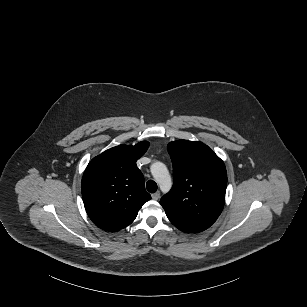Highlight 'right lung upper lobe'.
<instances>
[{
  "label": "right lung upper lobe",
  "mask_w": 307,
  "mask_h": 307,
  "mask_svg": "<svg viewBox=\"0 0 307 307\" xmlns=\"http://www.w3.org/2000/svg\"><path fill=\"white\" fill-rule=\"evenodd\" d=\"M148 147L147 141L119 145L88 164L82 177V198L87 214L98 227L111 232L125 228L151 199L136 165Z\"/></svg>",
  "instance_id": "right-lung-upper-lobe-1"
}]
</instances>
